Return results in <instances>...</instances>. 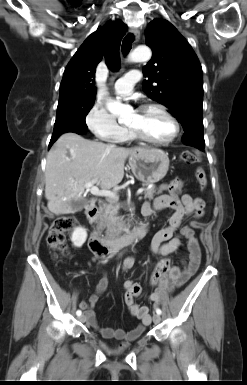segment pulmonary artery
Wrapping results in <instances>:
<instances>
[{
	"mask_svg": "<svg viewBox=\"0 0 247 385\" xmlns=\"http://www.w3.org/2000/svg\"><path fill=\"white\" fill-rule=\"evenodd\" d=\"M141 74L138 70H130L115 82V91L120 96H129L135 83L139 81Z\"/></svg>",
	"mask_w": 247,
	"mask_h": 385,
	"instance_id": "obj_1",
	"label": "pulmonary artery"
}]
</instances>
